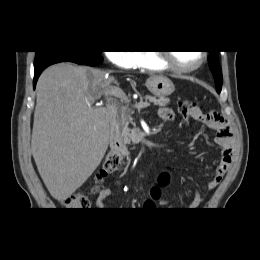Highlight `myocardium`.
Returning <instances> with one entry per match:
<instances>
[{"label":"myocardium","instance_id":"f54148a6","mask_svg":"<svg viewBox=\"0 0 260 260\" xmlns=\"http://www.w3.org/2000/svg\"><path fill=\"white\" fill-rule=\"evenodd\" d=\"M156 57L164 63L167 67L179 71V72H191L199 68L206 59V53L204 51H200V59L197 63L189 66L178 64L174 61L173 55L170 51L160 50L154 52Z\"/></svg>","mask_w":260,"mask_h":260}]
</instances>
